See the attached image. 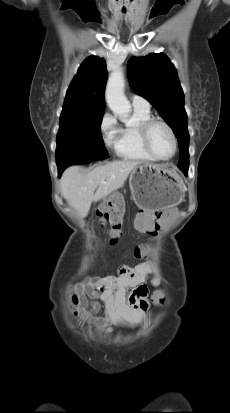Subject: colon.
<instances>
[{
  "label": "colon",
  "mask_w": 230,
  "mask_h": 413,
  "mask_svg": "<svg viewBox=\"0 0 230 413\" xmlns=\"http://www.w3.org/2000/svg\"><path fill=\"white\" fill-rule=\"evenodd\" d=\"M125 205L124 192H112L108 197V202L102 203L97 209L98 222L102 225H109V236L114 242L122 234L123 225V206ZM155 233L156 231H150ZM135 258H143L146 255L144 248H137L132 254ZM156 303L163 301V296L156 294L154 296Z\"/></svg>",
  "instance_id": "colon-1"
}]
</instances>
